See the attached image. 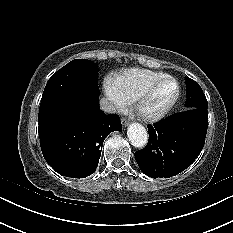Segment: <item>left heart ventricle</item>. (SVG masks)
I'll use <instances>...</instances> for the list:
<instances>
[{
  "mask_svg": "<svg viewBox=\"0 0 233 233\" xmlns=\"http://www.w3.org/2000/svg\"><path fill=\"white\" fill-rule=\"evenodd\" d=\"M174 94V83L167 81L160 84L144 104V112L155 113L161 110L172 99Z\"/></svg>",
  "mask_w": 233,
  "mask_h": 233,
  "instance_id": "obj_1",
  "label": "left heart ventricle"
}]
</instances>
